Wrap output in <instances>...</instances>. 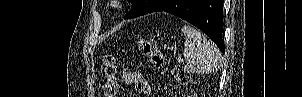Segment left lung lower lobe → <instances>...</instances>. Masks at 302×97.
<instances>
[{"label":"left lung lower lobe","mask_w":302,"mask_h":97,"mask_svg":"<svg viewBox=\"0 0 302 97\" xmlns=\"http://www.w3.org/2000/svg\"><path fill=\"white\" fill-rule=\"evenodd\" d=\"M145 9L124 17L135 18L165 11L193 24L206 33L224 53L222 40L223 0H148Z\"/></svg>","instance_id":"1"}]
</instances>
